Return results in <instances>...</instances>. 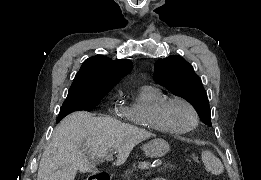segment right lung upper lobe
I'll return each mask as SVG.
<instances>
[{
    "label": "right lung upper lobe",
    "mask_w": 261,
    "mask_h": 180,
    "mask_svg": "<svg viewBox=\"0 0 261 180\" xmlns=\"http://www.w3.org/2000/svg\"><path fill=\"white\" fill-rule=\"evenodd\" d=\"M133 67L128 59L111 60L99 55L82 64L69 91L108 93Z\"/></svg>",
    "instance_id": "obj_1"
}]
</instances>
